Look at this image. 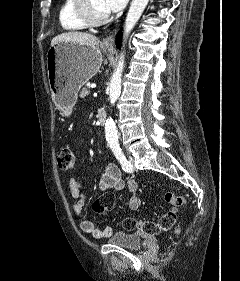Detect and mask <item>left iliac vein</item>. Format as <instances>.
Segmentation results:
<instances>
[{"label":"left iliac vein","instance_id":"left-iliac-vein-1","mask_svg":"<svg viewBox=\"0 0 240 281\" xmlns=\"http://www.w3.org/2000/svg\"><path fill=\"white\" fill-rule=\"evenodd\" d=\"M129 162L131 163V165L133 166V163H134V159L132 156H129Z\"/></svg>","mask_w":240,"mask_h":281}]
</instances>
